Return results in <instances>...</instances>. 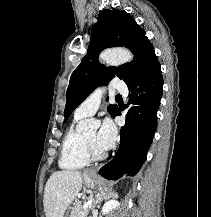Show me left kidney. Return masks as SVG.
<instances>
[{
  "label": "left kidney",
  "instance_id": "5707ae66",
  "mask_svg": "<svg viewBox=\"0 0 211 217\" xmlns=\"http://www.w3.org/2000/svg\"><path fill=\"white\" fill-rule=\"evenodd\" d=\"M119 205H120V203L117 200L111 199L103 205L102 213L104 215L108 214V213L112 212L113 209L115 210Z\"/></svg>",
  "mask_w": 211,
  "mask_h": 217
}]
</instances>
